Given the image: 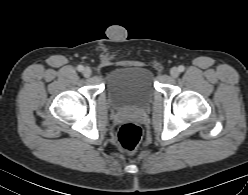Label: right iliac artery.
<instances>
[{
  "instance_id": "obj_1",
  "label": "right iliac artery",
  "mask_w": 248,
  "mask_h": 195,
  "mask_svg": "<svg viewBox=\"0 0 248 195\" xmlns=\"http://www.w3.org/2000/svg\"><path fill=\"white\" fill-rule=\"evenodd\" d=\"M83 69H84V67H83L82 65H79V66L77 67V70L80 71V72L83 71Z\"/></svg>"
}]
</instances>
